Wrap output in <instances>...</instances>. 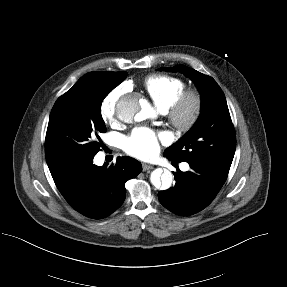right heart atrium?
Instances as JSON below:
<instances>
[{
	"instance_id": "1",
	"label": "right heart atrium",
	"mask_w": 287,
	"mask_h": 287,
	"mask_svg": "<svg viewBox=\"0 0 287 287\" xmlns=\"http://www.w3.org/2000/svg\"><path fill=\"white\" fill-rule=\"evenodd\" d=\"M125 91V86H119L109 92L102 100L100 105V116L105 123L111 124L116 120L117 105Z\"/></svg>"
}]
</instances>
